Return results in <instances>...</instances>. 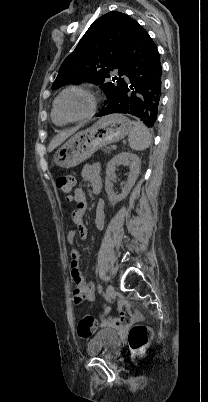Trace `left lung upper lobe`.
Returning a JSON list of instances; mask_svg holds the SVG:
<instances>
[{
    "label": "left lung upper lobe",
    "mask_w": 208,
    "mask_h": 402,
    "mask_svg": "<svg viewBox=\"0 0 208 402\" xmlns=\"http://www.w3.org/2000/svg\"><path fill=\"white\" fill-rule=\"evenodd\" d=\"M135 22L120 12H109L94 21L62 63L52 89L89 81L104 90L107 105L121 81V77H114L116 83L110 82V74L117 69L120 76L124 75V54Z\"/></svg>",
    "instance_id": "1"
}]
</instances>
